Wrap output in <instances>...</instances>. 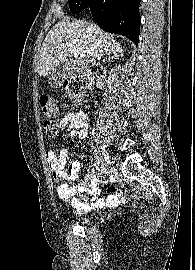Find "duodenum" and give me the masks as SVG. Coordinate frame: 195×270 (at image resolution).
<instances>
[{"label":"duodenum","instance_id":"1","mask_svg":"<svg viewBox=\"0 0 195 270\" xmlns=\"http://www.w3.org/2000/svg\"><path fill=\"white\" fill-rule=\"evenodd\" d=\"M84 80H85L87 86L90 87L91 84H92V81H93V78H92L91 74L86 73V74L84 75Z\"/></svg>","mask_w":195,"mask_h":270}]
</instances>
